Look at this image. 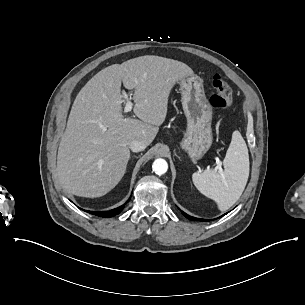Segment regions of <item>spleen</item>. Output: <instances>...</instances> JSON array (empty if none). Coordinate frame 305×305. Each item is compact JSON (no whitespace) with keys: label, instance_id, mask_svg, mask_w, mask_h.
<instances>
[{"label":"spleen","instance_id":"spleen-1","mask_svg":"<svg viewBox=\"0 0 305 305\" xmlns=\"http://www.w3.org/2000/svg\"><path fill=\"white\" fill-rule=\"evenodd\" d=\"M223 171L194 172L192 182L205 197L225 211L241 196L249 175V157L246 144L238 131L232 133L231 142L222 161Z\"/></svg>","mask_w":305,"mask_h":305}]
</instances>
